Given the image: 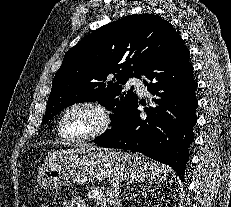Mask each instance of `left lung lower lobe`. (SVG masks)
Segmentation results:
<instances>
[{
    "mask_svg": "<svg viewBox=\"0 0 231 207\" xmlns=\"http://www.w3.org/2000/svg\"><path fill=\"white\" fill-rule=\"evenodd\" d=\"M141 75L146 78L143 82L154 96L155 106L145 108V114H141L137 100L122 116L116 130L95 142L102 147L141 152L171 166L184 180L198 102L189 51L182 38L151 59Z\"/></svg>",
    "mask_w": 231,
    "mask_h": 207,
    "instance_id": "left-lung-lower-lobe-1",
    "label": "left lung lower lobe"
}]
</instances>
